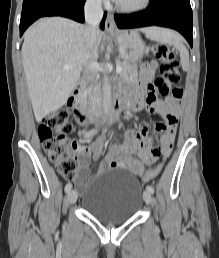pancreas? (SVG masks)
I'll return each mask as SVG.
<instances>
[{
  "label": "pancreas",
  "instance_id": "obj_1",
  "mask_svg": "<svg viewBox=\"0 0 219 258\" xmlns=\"http://www.w3.org/2000/svg\"><path fill=\"white\" fill-rule=\"evenodd\" d=\"M117 65H120L122 67V71L120 72V77L124 80H131L137 77L138 71H137V65L129 62V61H120L117 63ZM100 100V91L99 88H97L96 91V101L97 103Z\"/></svg>",
  "mask_w": 219,
  "mask_h": 258
}]
</instances>
